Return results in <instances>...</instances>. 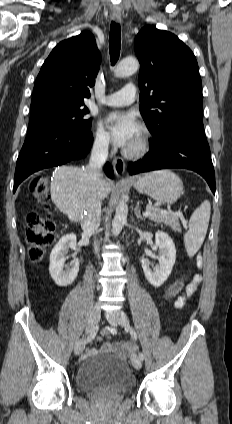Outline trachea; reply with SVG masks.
Returning a JSON list of instances; mask_svg holds the SVG:
<instances>
[{"label":"trachea","mask_w":232,"mask_h":424,"mask_svg":"<svg viewBox=\"0 0 232 424\" xmlns=\"http://www.w3.org/2000/svg\"><path fill=\"white\" fill-rule=\"evenodd\" d=\"M120 46H121V32L120 25L112 22L110 26V36H109V51L112 65H114L120 55Z\"/></svg>","instance_id":"trachea-1"}]
</instances>
